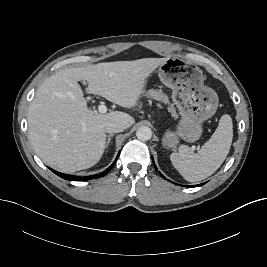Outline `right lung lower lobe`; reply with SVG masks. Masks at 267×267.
I'll list each match as a JSON object with an SVG mask.
<instances>
[{
    "instance_id": "obj_1",
    "label": "right lung lower lobe",
    "mask_w": 267,
    "mask_h": 267,
    "mask_svg": "<svg viewBox=\"0 0 267 267\" xmlns=\"http://www.w3.org/2000/svg\"><path fill=\"white\" fill-rule=\"evenodd\" d=\"M119 156V154H118ZM118 156L116 158V160L113 162V164L107 168L104 172L100 173V174H97V175H92V176H88V177H79V176H73V175H67V174H63V173H60V172H57L53 169H51L55 174H57L58 176H60L61 178L63 179H66V180H70V181H86V180H89V179H95V178H99V177H102L104 175H106L112 168L113 166L115 165L117 159H118Z\"/></svg>"
}]
</instances>
